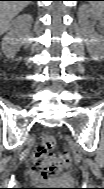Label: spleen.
<instances>
[{
	"label": "spleen",
	"mask_w": 104,
	"mask_h": 189,
	"mask_svg": "<svg viewBox=\"0 0 104 189\" xmlns=\"http://www.w3.org/2000/svg\"><path fill=\"white\" fill-rule=\"evenodd\" d=\"M90 4L95 8H103L102 2H90Z\"/></svg>",
	"instance_id": "obj_1"
}]
</instances>
